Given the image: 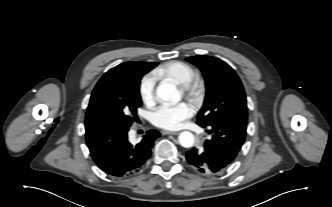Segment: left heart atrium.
Here are the masks:
<instances>
[{
	"mask_svg": "<svg viewBox=\"0 0 332 207\" xmlns=\"http://www.w3.org/2000/svg\"><path fill=\"white\" fill-rule=\"evenodd\" d=\"M194 113L191 105L181 102L174 105H161L151 114L152 123L163 129L175 130Z\"/></svg>",
	"mask_w": 332,
	"mask_h": 207,
	"instance_id": "left-heart-atrium-1",
	"label": "left heart atrium"
}]
</instances>
